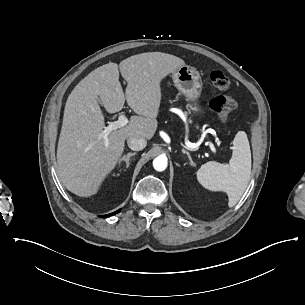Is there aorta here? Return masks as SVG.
<instances>
[{"mask_svg": "<svg viewBox=\"0 0 305 305\" xmlns=\"http://www.w3.org/2000/svg\"><path fill=\"white\" fill-rule=\"evenodd\" d=\"M168 166L167 157L160 155L153 160V167L156 171H164Z\"/></svg>", "mask_w": 305, "mask_h": 305, "instance_id": "762f6f07", "label": "aorta"}]
</instances>
